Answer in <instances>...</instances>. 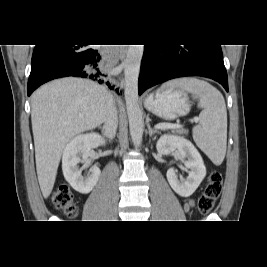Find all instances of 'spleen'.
Masks as SVG:
<instances>
[{"instance_id":"3e777b00","label":"spleen","mask_w":267,"mask_h":267,"mask_svg":"<svg viewBox=\"0 0 267 267\" xmlns=\"http://www.w3.org/2000/svg\"><path fill=\"white\" fill-rule=\"evenodd\" d=\"M165 87H180L198 99V107L203 110L199 124L193 127V139L215 165H220L227 146V110L221 92L197 78L175 79L163 85Z\"/></svg>"}]
</instances>
